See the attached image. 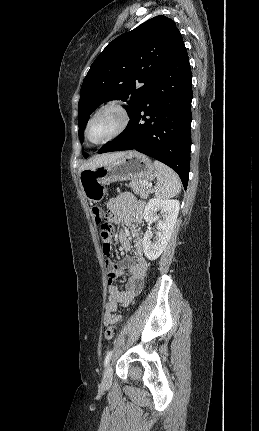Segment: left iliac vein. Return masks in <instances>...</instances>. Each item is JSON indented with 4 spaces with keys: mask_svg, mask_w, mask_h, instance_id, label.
Segmentation results:
<instances>
[{
    "mask_svg": "<svg viewBox=\"0 0 259 431\" xmlns=\"http://www.w3.org/2000/svg\"><path fill=\"white\" fill-rule=\"evenodd\" d=\"M111 381H112V367L111 365H107L103 374V384L109 385Z\"/></svg>",
    "mask_w": 259,
    "mask_h": 431,
    "instance_id": "left-iliac-vein-1",
    "label": "left iliac vein"
}]
</instances>
